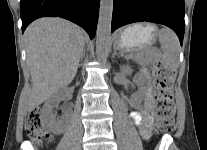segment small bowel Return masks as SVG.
I'll list each match as a JSON object with an SVG mask.
<instances>
[{
    "instance_id": "1",
    "label": "small bowel",
    "mask_w": 207,
    "mask_h": 150,
    "mask_svg": "<svg viewBox=\"0 0 207 150\" xmlns=\"http://www.w3.org/2000/svg\"><path fill=\"white\" fill-rule=\"evenodd\" d=\"M145 104L146 111L144 114L134 111L131 113V117L134 123L137 125L141 136L143 138H148L151 134L153 124V100L149 91L146 94Z\"/></svg>"
}]
</instances>
